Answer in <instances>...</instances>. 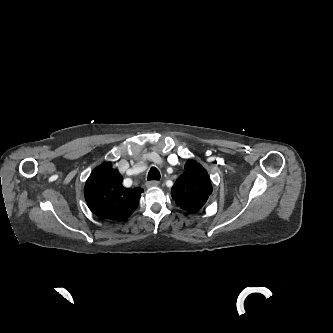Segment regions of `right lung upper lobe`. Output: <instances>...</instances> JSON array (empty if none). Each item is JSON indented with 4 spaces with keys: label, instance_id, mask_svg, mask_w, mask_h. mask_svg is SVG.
Here are the masks:
<instances>
[{
    "label": "right lung upper lobe",
    "instance_id": "1",
    "mask_svg": "<svg viewBox=\"0 0 333 333\" xmlns=\"http://www.w3.org/2000/svg\"><path fill=\"white\" fill-rule=\"evenodd\" d=\"M123 177L112 168L110 162L96 167L84 188L89 209L98 217L113 221H124L139 204L142 188H125Z\"/></svg>",
    "mask_w": 333,
    "mask_h": 333
}]
</instances>
